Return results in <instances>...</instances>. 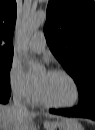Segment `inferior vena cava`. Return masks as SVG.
<instances>
[{
  "instance_id": "obj_1",
  "label": "inferior vena cava",
  "mask_w": 95,
  "mask_h": 130,
  "mask_svg": "<svg viewBox=\"0 0 95 130\" xmlns=\"http://www.w3.org/2000/svg\"><path fill=\"white\" fill-rule=\"evenodd\" d=\"M12 106L16 111H19V112H26L27 111V107L22 103L21 94L18 92L13 93Z\"/></svg>"
}]
</instances>
